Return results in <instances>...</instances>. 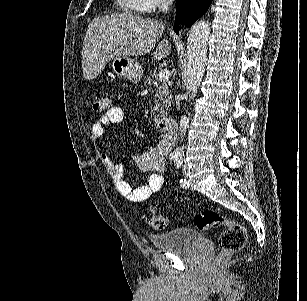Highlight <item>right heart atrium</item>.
<instances>
[{
    "mask_svg": "<svg viewBox=\"0 0 307 301\" xmlns=\"http://www.w3.org/2000/svg\"><path fill=\"white\" fill-rule=\"evenodd\" d=\"M162 5V0H139L138 4H134V11H157Z\"/></svg>",
    "mask_w": 307,
    "mask_h": 301,
    "instance_id": "obj_1",
    "label": "right heart atrium"
}]
</instances>
